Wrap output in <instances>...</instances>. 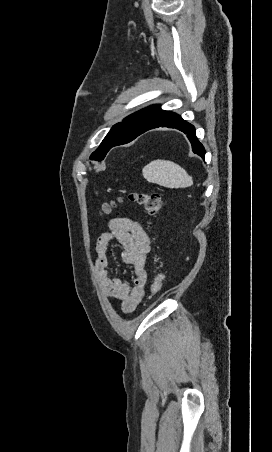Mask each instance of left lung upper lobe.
I'll use <instances>...</instances> for the list:
<instances>
[{
    "instance_id": "5c2ea615",
    "label": "left lung upper lobe",
    "mask_w": 272,
    "mask_h": 452,
    "mask_svg": "<svg viewBox=\"0 0 272 452\" xmlns=\"http://www.w3.org/2000/svg\"><path fill=\"white\" fill-rule=\"evenodd\" d=\"M161 111L162 109L159 105L149 106L129 115L122 122L114 125L97 150L91 154L90 159L96 161L103 160L115 141L122 138H131L144 132L151 126Z\"/></svg>"
}]
</instances>
